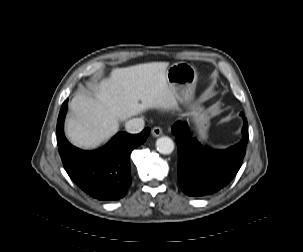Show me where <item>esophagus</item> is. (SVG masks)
Instances as JSON below:
<instances>
[{
    "label": "esophagus",
    "instance_id": "1",
    "mask_svg": "<svg viewBox=\"0 0 303 252\" xmlns=\"http://www.w3.org/2000/svg\"><path fill=\"white\" fill-rule=\"evenodd\" d=\"M162 129L160 127H154L152 128L151 130V134L154 136V137H159L162 135Z\"/></svg>",
    "mask_w": 303,
    "mask_h": 252
}]
</instances>
